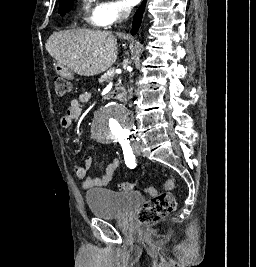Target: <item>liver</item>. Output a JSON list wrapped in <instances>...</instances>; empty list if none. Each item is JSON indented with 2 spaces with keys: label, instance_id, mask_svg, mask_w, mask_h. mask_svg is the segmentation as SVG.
I'll return each instance as SVG.
<instances>
[{
  "label": "liver",
  "instance_id": "obj_1",
  "mask_svg": "<svg viewBox=\"0 0 256 267\" xmlns=\"http://www.w3.org/2000/svg\"><path fill=\"white\" fill-rule=\"evenodd\" d=\"M128 40V36H121ZM46 50L60 66H67L79 76L106 72L117 60V40L112 32L100 30H63L53 32Z\"/></svg>",
  "mask_w": 256,
  "mask_h": 267
}]
</instances>
